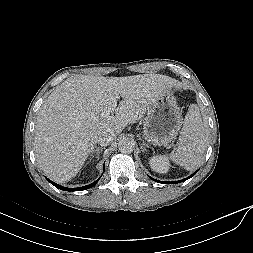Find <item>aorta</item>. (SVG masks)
I'll return each instance as SVG.
<instances>
[{"label":"aorta","mask_w":253,"mask_h":253,"mask_svg":"<svg viewBox=\"0 0 253 253\" xmlns=\"http://www.w3.org/2000/svg\"><path fill=\"white\" fill-rule=\"evenodd\" d=\"M134 147H135L134 141H132L129 138H123L118 143L119 151L122 152V153H125V154L133 152Z\"/></svg>","instance_id":"1"}]
</instances>
